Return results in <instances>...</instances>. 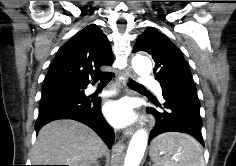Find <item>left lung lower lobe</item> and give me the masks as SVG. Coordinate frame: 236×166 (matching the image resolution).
I'll return each mask as SVG.
<instances>
[{"label": "left lung lower lobe", "mask_w": 236, "mask_h": 166, "mask_svg": "<svg viewBox=\"0 0 236 166\" xmlns=\"http://www.w3.org/2000/svg\"><path fill=\"white\" fill-rule=\"evenodd\" d=\"M161 87L165 100L163 106L155 100H151V102L156 106L159 105L164 112L147 108L156 119L149 141L164 132H182L193 136L204 146L201 133L200 101L194 83L173 82Z\"/></svg>", "instance_id": "0a47b994"}]
</instances>
